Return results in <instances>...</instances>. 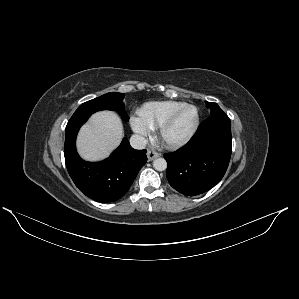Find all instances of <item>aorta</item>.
<instances>
[{
  "mask_svg": "<svg viewBox=\"0 0 299 299\" xmlns=\"http://www.w3.org/2000/svg\"><path fill=\"white\" fill-rule=\"evenodd\" d=\"M153 167L157 171H164L167 168V162L164 158H157L153 161Z\"/></svg>",
  "mask_w": 299,
  "mask_h": 299,
  "instance_id": "762f6f07",
  "label": "aorta"
}]
</instances>
